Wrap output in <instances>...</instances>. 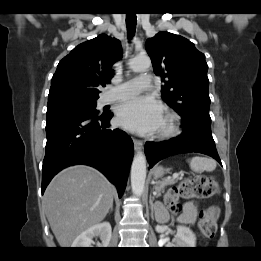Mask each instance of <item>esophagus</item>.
I'll list each match as a JSON object with an SVG mask.
<instances>
[{
    "instance_id": "obj_1",
    "label": "esophagus",
    "mask_w": 261,
    "mask_h": 261,
    "mask_svg": "<svg viewBox=\"0 0 261 261\" xmlns=\"http://www.w3.org/2000/svg\"><path fill=\"white\" fill-rule=\"evenodd\" d=\"M134 148L136 151H140L143 148V143L140 140L133 139Z\"/></svg>"
}]
</instances>
